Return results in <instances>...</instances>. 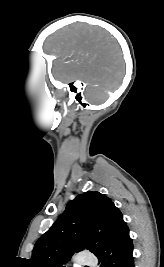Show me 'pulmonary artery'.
<instances>
[{
  "instance_id": "pulmonary-artery-1",
  "label": "pulmonary artery",
  "mask_w": 164,
  "mask_h": 267,
  "mask_svg": "<svg viewBox=\"0 0 164 267\" xmlns=\"http://www.w3.org/2000/svg\"><path fill=\"white\" fill-rule=\"evenodd\" d=\"M76 262L79 265H94L96 259L93 256H82L81 258H78Z\"/></svg>"
}]
</instances>
